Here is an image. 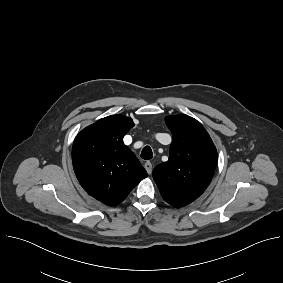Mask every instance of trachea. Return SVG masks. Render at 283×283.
Masks as SVG:
<instances>
[{
  "label": "trachea",
  "mask_w": 283,
  "mask_h": 283,
  "mask_svg": "<svg viewBox=\"0 0 283 283\" xmlns=\"http://www.w3.org/2000/svg\"><path fill=\"white\" fill-rule=\"evenodd\" d=\"M141 157L144 160H150L153 157V152L150 146H145L141 152Z\"/></svg>",
  "instance_id": "trachea-1"
}]
</instances>
